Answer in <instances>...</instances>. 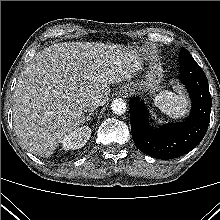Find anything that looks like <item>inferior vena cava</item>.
<instances>
[{"mask_svg":"<svg viewBox=\"0 0 220 220\" xmlns=\"http://www.w3.org/2000/svg\"><path fill=\"white\" fill-rule=\"evenodd\" d=\"M100 105V100L97 97L88 99L84 104L83 108L85 112H92L98 108Z\"/></svg>","mask_w":220,"mask_h":220,"instance_id":"obj_1","label":"inferior vena cava"}]
</instances>
